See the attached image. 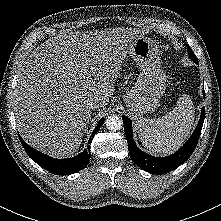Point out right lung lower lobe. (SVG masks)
<instances>
[{
  "label": "right lung lower lobe",
  "instance_id": "1",
  "mask_svg": "<svg viewBox=\"0 0 221 221\" xmlns=\"http://www.w3.org/2000/svg\"><path fill=\"white\" fill-rule=\"evenodd\" d=\"M105 119H101L92 133L90 140L88 142L87 150H84L79 155L68 158V159H55L49 157L34 148L30 147L24 140L19 136L20 141L28 154V156L35 161L38 165L46 169L47 171L57 174V175H69L75 172L80 171L81 169L85 168L90 160L91 152H90V145L94 134L100 129L103 125Z\"/></svg>",
  "mask_w": 221,
  "mask_h": 221
}]
</instances>
